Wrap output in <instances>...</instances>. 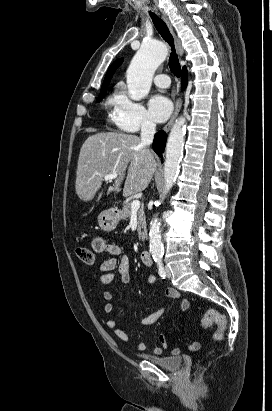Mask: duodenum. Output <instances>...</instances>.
Wrapping results in <instances>:
<instances>
[{
    "label": "duodenum",
    "mask_w": 272,
    "mask_h": 411,
    "mask_svg": "<svg viewBox=\"0 0 272 411\" xmlns=\"http://www.w3.org/2000/svg\"><path fill=\"white\" fill-rule=\"evenodd\" d=\"M112 210L116 211V209H114V208ZM141 259H142L143 263L147 266H151L153 264L152 256H151V254L148 250H143L141 252Z\"/></svg>",
    "instance_id": "duodenum-1"
}]
</instances>
